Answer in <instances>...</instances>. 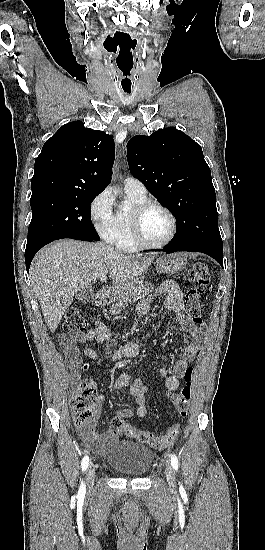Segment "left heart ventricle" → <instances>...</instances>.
I'll return each mask as SVG.
<instances>
[{"label": "left heart ventricle", "instance_id": "left-heart-ventricle-1", "mask_svg": "<svg viewBox=\"0 0 265 550\" xmlns=\"http://www.w3.org/2000/svg\"><path fill=\"white\" fill-rule=\"evenodd\" d=\"M171 223L166 213L160 209H150L142 220V234L150 243H161L169 235Z\"/></svg>", "mask_w": 265, "mask_h": 550}]
</instances>
